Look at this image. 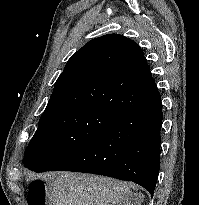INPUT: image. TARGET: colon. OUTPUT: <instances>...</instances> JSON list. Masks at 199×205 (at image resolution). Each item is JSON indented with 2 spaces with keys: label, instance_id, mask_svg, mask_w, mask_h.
I'll use <instances>...</instances> for the list:
<instances>
[{
  "label": "colon",
  "instance_id": "5ec220e1",
  "mask_svg": "<svg viewBox=\"0 0 199 205\" xmlns=\"http://www.w3.org/2000/svg\"><path fill=\"white\" fill-rule=\"evenodd\" d=\"M28 199L31 203L30 205H46L45 195L37 184H31Z\"/></svg>",
  "mask_w": 199,
  "mask_h": 205
}]
</instances>
